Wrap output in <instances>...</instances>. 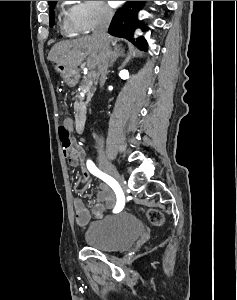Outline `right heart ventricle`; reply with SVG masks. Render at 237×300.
I'll list each match as a JSON object with an SVG mask.
<instances>
[{
  "label": "right heart ventricle",
  "mask_w": 237,
  "mask_h": 300,
  "mask_svg": "<svg viewBox=\"0 0 237 300\" xmlns=\"http://www.w3.org/2000/svg\"><path fill=\"white\" fill-rule=\"evenodd\" d=\"M62 28L68 34L74 32L71 28L70 20H69L68 15H64L63 18H62Z\"/></svg>",
  "instance_id": "e07e8e85"
}]
</instances>
